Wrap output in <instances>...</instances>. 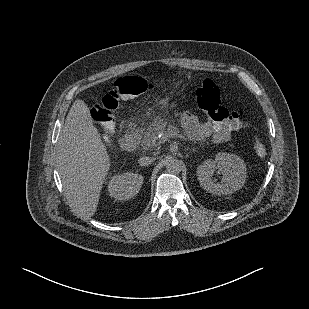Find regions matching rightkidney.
<instances>
[{"instance_id": "1", "label": "right kidney", "mask_w": 309, "mask_h": 309, "mask_svg": "<svg viewBox=\"0 0 309 309\" xmlns=\"http://www.w3.org/2000/svg\"><path fill=\"white\" fill-rule=\"evenodd\" d=\"M143 179V176L136 172L115 173L109 177L108 193L116 200H129L139 192Z\"/></svg>"}]
</instances>
